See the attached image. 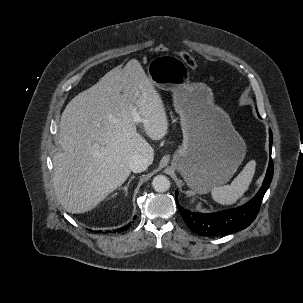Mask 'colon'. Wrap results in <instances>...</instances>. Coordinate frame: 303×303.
Segmentation results:
<instances>
[{
  "label": "colon",
  "mask_w": 303,
  "mask_h": 303,
  "mask_svg": "<svg viewBox=\"0 0 303 303\" xmlns=\"http://www.w3.org/2000/svg\"><path fill=\"white\" fill-rule=\"evenodd\" d=\"M155 51L158 53H164L168 51V47L164 44H160L155 48ZM179 56L189 68L191 69L197 68L196 60L189 53L180 52Z\"/></svg>",
  "instance_id": "1"
}]
</instances>
